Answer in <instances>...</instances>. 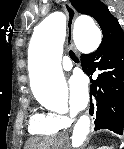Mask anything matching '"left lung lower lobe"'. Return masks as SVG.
Listing matches in <instances>:
<instances>
[{"label":"left lung lower lobe","instance_id":"0a47b994","mask_svg":"<svg viewBox=\"0 0 124 149\" xmlns=\"http://www.w3.org/2000/svg\"><path fill=\"white\" fill-rule=\"evenodd\" d=\"M83 71L92 78L90 113L95 110V130L108 129L122 134L124 129V39L82 55ZM93 102V103H92Z\"/></svg>","mask_w":124,"mask_h":149}]
</instances>
